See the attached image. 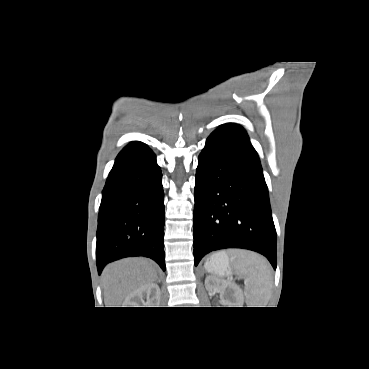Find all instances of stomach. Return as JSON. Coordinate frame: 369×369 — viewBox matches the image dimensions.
Listing matches in <instances>:
<instances>
[{"label":"stomach","mask_w":369,"mask_h":369,"mask_svg":"<svg viewBox=\"0 0 369 369\" xmlns=\"http://www.w3.org/2000/svg\"><path fill=\"white\" fill-rule=\"evenodd\" d=\"M208 272L219 276H228L232 273V268L225 252H218L212 255L205 263Z\"/></svg>","instance_id":"1"}]
</instances>
